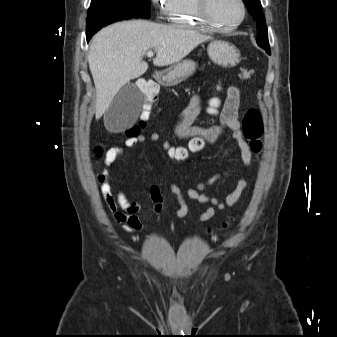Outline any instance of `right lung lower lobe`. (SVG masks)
<instances>
[{
  "label": "right lung lower lobe",
  "mask_w": 337,
  "mask_h": 337,
  "mask_svg": "<svg viewBox=\"0 0 337 337\" xmlns=\"http://www.w3.org/2000/svg\"><path fill=\"white\" fill-rule=\"evenodd\" d=\"M130 18H132V17H128V16H109V17L100 18V19H98L96 21H93V22L87 24V30H86V39H87V42L102 27H104V26H106L108 24H111L113 22H116V21L130 19Z\"/></svg>",
  "instance_id": "98d812e1"
}]
</instances>
